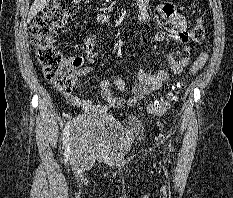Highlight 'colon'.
I'll return each instance as SVG.
<instances>
[{
  "label": "colon",
  "mask_w": 233,
  "mask_h": 198,
  "mask_svg": "<svg viewBox=\"0 0 233 198\" xmlns=\"http://www.w3.org/2000/svg\"><path fill=\"white\" fill-rule=\"evenodd\" d=\"M79 0H54L47 5L42 13L35 18L30 33L36 49V57L45 78L52 87L63 94H71L77 80L78 73L66 66L63 57L55 45V35L66 20L77 11ZM191 39L199 42L204 38L205 30L201 19L191 30ZM208 59L206 52H202L189 69V75L194 76L205 65ZM181 88V86L179 87ZM168 94L166 99L155 100L147 108L154 115L165 114L177 100L178 89Z\"/></svg>",
  "instance_id": "5ec220e1"
}]
</instances>
